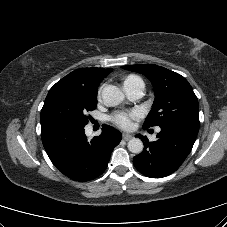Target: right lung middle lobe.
Wrapping results in <instances>:
<instances>
[{
	"label": "right lung middle lobe",
	"mask_w": 227,
	"mask_h": 227,
	"mask_svg": "<svg viewBox=\"0 0 227 227\" xmlns=\"http://www.w3.org/2000/svg\"><path fill=\"white\" fill-rule=\"evenodd\" d=\"M97 86L60 80L49 91L41 110V126L67 123L84 127L97 106Z\"/></svg>",
	"instance_id": "1"
}]
</instances>
